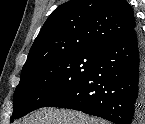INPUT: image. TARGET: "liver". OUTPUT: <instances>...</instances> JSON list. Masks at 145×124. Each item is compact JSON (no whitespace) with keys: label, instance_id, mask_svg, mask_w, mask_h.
<instances>
[{"label":"liver","instance_id":"obj_1","mask_svg":"<svg viewBox=\"0 0 145 124\" xmlns=\"http://www.w3.org/2000/svg\"><path fill=\"white\" fill-rule=\"evenodd\" d=\"M21 124H103L88 116L70 110L43 109L30 115Z\"/></svg>","mask_w":145,"mask_h":124}]
</instances>
